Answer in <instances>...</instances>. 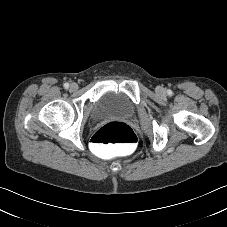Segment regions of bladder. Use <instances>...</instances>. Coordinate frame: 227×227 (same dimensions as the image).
I'll return each instance as SVG.
<instances>
[{"instance_id":"obj_1","label":"bladder","mask_w":227,"mask_h":227,"mask_svg":"<svg viewBox=\"0 0 227 227\" xmlns=\"http://www.w3.org/2000/svg\"><path fill=\"white\" fill-rule=\"evenodd\" d=\"M134 113L131 101L117 92H108L95 103L91 112L93 120L105 118H128Z\"/></svg>"}]
</instances>
